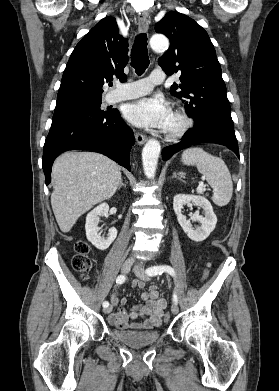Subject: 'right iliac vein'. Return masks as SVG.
<instances>
[{
  "label": "right iliac vein",
  "instance_id": "right-iliac-vein-1",
  "mask_svg": "<svg viewBox=\"0 0 279 391\" xmlns=\"http://www.w3.org/2000/svg\"><path fill=\"white\" fill-rule=\"evenodd\" d=\"M133 263H134V260H133L132 258L126 259V260L123 262V264H122L121 272H122L123 274H127V273L130 271V269L132 268ZM111 311H112V306H108V307H105V308L103 309V312H104L105 314H108V313H110Z\"/></svg>",
  "mask_w": 279,
  "mask_h": 391
}]
</instances>
